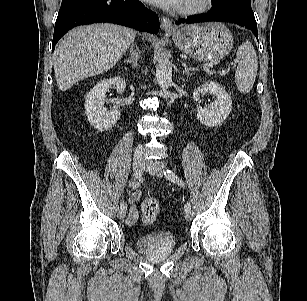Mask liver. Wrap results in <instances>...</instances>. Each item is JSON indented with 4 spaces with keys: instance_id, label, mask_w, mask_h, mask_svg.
<instances>
[{
    "instance_id": "obj_1",
    "label": "liver",
    "mask_w": 307,
    "mask_h": 301,
    "mask_svg": "<svg viewBox=\"0 0 307 301\" xmlns=\"http://www.w3.org/2000/svg\"><path fill=\"white\" fill-rule=\"evenodd\" d=\"M134 30L99 23L70 31L54 50L58 88L70 89L76 82L111 69L134 42Z\"/></svg>"
}]
</instances>
